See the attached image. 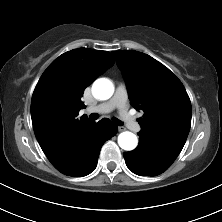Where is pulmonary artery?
<instances>
[{"mask_svg":"<svg viewBox=\"0 0 222 222\" xmlns=\"http://www.w3.org/2000/svg\"><path fill=\"white\" fill-rule=\"evenodd\" d=\"M127 98L128 93L127 89L123 84H119L116 89L113 97L98 106L88 107L86 112L88 113H109L114 109H118L120 117L126 124L129 129L139 130L140 125L135 120V118L127 111Z\"/></svg>","mask_w":222,"mask_h":222,"instance_id":"1","label":"pulmonary artery"}]
</instances>
